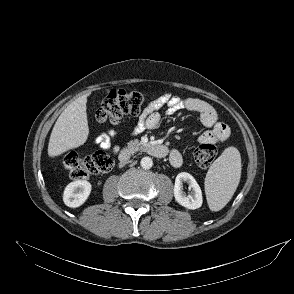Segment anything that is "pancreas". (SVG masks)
<instances>
[{"mask_svg":"<svg viewBox=\"0 0 294 294\" xmlns=\"http://www.w3.org/2000/svg\"><path fill=\"white\" fill-rule=\"evenodd\" d=\"M127 146H128V148L130 150L137 151V150L142 149L143 147H145L146 144L142 143L138 139H135V140H132V141L128 142Z\"/></svg>","mask_w":294,"mask_h":294,"instance_id":"pancreas-1","label":"pancreas"}]
</instances>
